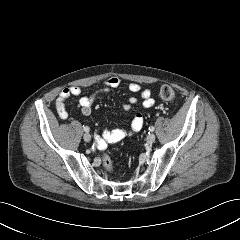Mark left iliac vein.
<instances>
[{"mask_svg":"<svg viewBox=\"0 0 240 240\" xmlns=\"http://www.w3.org/2000/svg\"><path fill=\"white\" fill-rule=\"evenodd\" d=\"M155 139H156L155 135L151 133V134L147 135L146 142L148 144H152V143H154Z\"/></svg>","mask_w":240,"mask_h":240,"instance_id":"obj_1","label":"left iliac vein"}]
</instances>
